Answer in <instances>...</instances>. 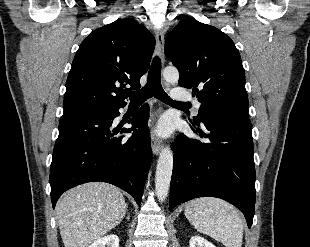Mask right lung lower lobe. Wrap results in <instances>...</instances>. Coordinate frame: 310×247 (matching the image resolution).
Here are the masks:
<instances>
[{"mask_svg": "<svg viewBox=\"0 0 310 247\" xmlns=\"http://www.w3.org/2000/svg\"><path fill=\"white\" fill-rule=\"evenodd\" d=\"M64 113L50 167L53 208L63 192L86 182H107L128 192L140 205L151 162L149 107L143 105L128 122L129 139L110 129L119 108ZM137 129V130H136Z\"/></svg>", "mask_w": 310, "mask_h": 247, "instance_id": "1", "label": "right lung lower lobe"}]
</instances>
